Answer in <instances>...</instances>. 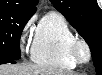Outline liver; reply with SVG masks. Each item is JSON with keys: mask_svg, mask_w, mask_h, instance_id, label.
<instances>
[{"mask_svg": "<svg viewBox=\"0 0 102 75\" xmlns=\"http://www.w3.org/2000/svg\"><path fill=\"white\" fill-rule=\"evenodd\" d=\"M0 75H75L73 72L62 71L49 66L36 64L0 66Z\"/></svg>", "mask_w": 102, "mask_h": 75, "instance_id": "obj_1", "label": "liver"}]
</instances>
